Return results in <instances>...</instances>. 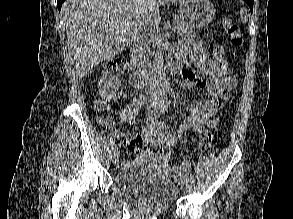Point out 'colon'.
Masks as SVG:
<instances>
[{"label": "colon", "instance_id": "5ec220e1", "mask_svg": "<svg viewBox=\"0 0 293 219\" xmlns=\"http://www.w3.org/2000/svg\"><path fill=\"white\" fill-rule=\"evenodd\" d=\"M223 28L228 36L231 44L233 46H241L243 44V37L240 31V28L236 21L231 17H225L223 19ZM211 54L215 60L217 67L223 72L229 73L228 62L224 57V49L221 45H212L210 47ZM110 68L120 74H123L128 69V61L124 57H117L110 62ZM97 110H102L106 108L104 102L98 101L95 104ZM99 123L103 128L109 129L111 127V122L104 118L99 117ZM213 140V133L211 130L204 131L199 138V153L206 151ZM172 146L171 144H164L158 150V155L163 160L170 159L172 155Z\"/></svg>", "mask_w": 293, "mask_h": 219}]
</instances>
